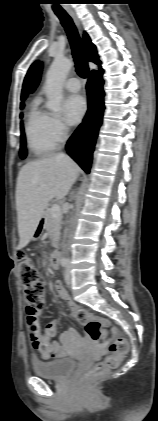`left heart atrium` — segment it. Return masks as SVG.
Wrapping results in <instances>:
<instances>
[{"instance_id":"obj_1","label":"left heart atrium","mask_w":158,"mask_h":421,"mask_svg":"<svg viewBox=\"0 0 158 421\" xmlns=\"http://www.w3.org/2000/svg\"><path fill=\"white\" fill-rule=\"evenodd\" d=\"M63 109L66 121L72 125L78 124L86 113V101L80 95H69L64 100Z\"/></svg>"}]
</instances>
